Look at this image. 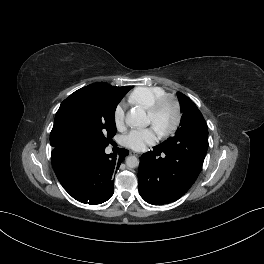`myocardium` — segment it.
<instances>
[{"label":"myocardium","mask_w":264,"mask_h":264,"mask_svg":"<svg viewBox=\"0 0 264 264\" xmlns=\"http://www.w3.org/2000/svg\"><path fill=\"white\" fill-rule=\"evenodd\" d=\"M165 105H170L172 107L174 119H173L172 124L169 127L158 131L161 137H168L174 134L180 127V124L182 121V110H181L180 103L175 97L171 95H164L160 97L159 99H157L147 109L148 115L151 116L152 118H155Z\"/></svg>","instance_id":"f54148a6"}]
</instances>
